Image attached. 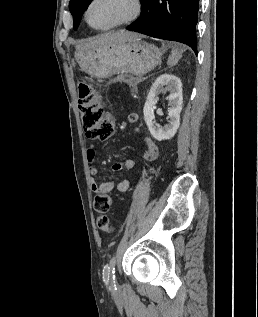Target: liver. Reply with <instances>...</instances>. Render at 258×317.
Segmentation results:
<instances>
[{"mask_svg":"<svg viewBox=\"0 0 258 317\" xmlns=\"http://www.w3.org/2000/svg\"><path fill=\"white\" fill-rule=\"evenodd\" d=\"M139 34L137 32H128V30H118V32H103L99 36H93V38H87V42L84 40H77V48H97V46H103V44H118V42H128L137 38Z\"/></svg>","mask_w":258,"mask_h":317,"instance_id":"1","label":"liver"}]
</instances>
